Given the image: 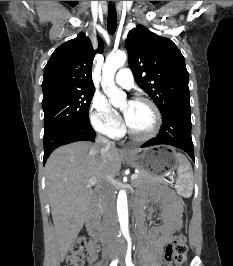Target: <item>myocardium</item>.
<instances>
[{
	"label": "myocardium",
	"mask_w": 233,
	"mask_h": 266,
	"mask_svg": "<svg viewBox=\"0 0 233 266\" xmlns=\"http://www.w3.org/2000/svg\"><path fill=\"white\" fill-rule=\"evenodd\" d=\"M133 101L145 103L151 107V109L153 110V113H154V125L148 133L137 134L127 124V128H126L127 133L135 141H148V140L154 138L160 131V128L162 126L161 111H160L159 107L157 106V104L153 100H151L147 97L138 96V97H135Z\"/></svg>",
	"instance_id": "obj_1"
}]
</instances>
